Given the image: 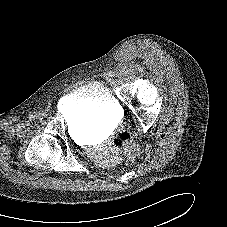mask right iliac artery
Segmentation results:
<instances>
[{"label":"right iliac artery","mask_w":227,"mask_h":227,"mask_svg":"<svg viewBox=\"0 0 227 227\" xmlns=\"http://www.w3.org/2000/svg\"><path fill=\"white\" fill-rule=\"evenodd\" d=\"M35 117H36V116L32 114V115L29 116V119H30V120H31V119H35Z\"/></svg>","instance_id":"obj_1"}]
</instances>
